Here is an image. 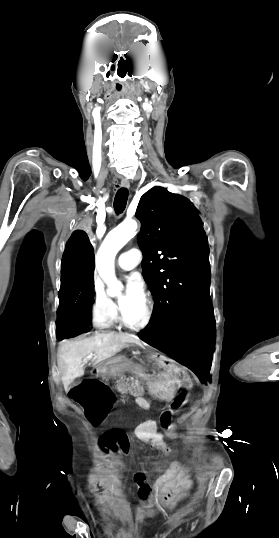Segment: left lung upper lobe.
Returning a JSON list of instances; mask_svg holds the SVG:
<instances>
[{
  "instance_id": "left-lung-upper-lobe-1",
  "label": "left lung upper lobe",
  "mask_w": 279,
  "mask_h": 538,
  "mask_svg": "<svg viewBox=\"0 0 279 538\" xmlns=\"http://www.w3.org/2000/svg\"><path fill=\"white\" fill-rule=\"evenodd\" d=\"M190 201L153 187L138 204L143 276L155 301L145 330L161 331L210 290L209 248Z\"/></svg>"
}]
</instances>
